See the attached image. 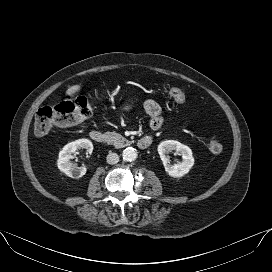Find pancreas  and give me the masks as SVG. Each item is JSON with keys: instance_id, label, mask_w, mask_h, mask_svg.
Instances as JSON below:
<instances>
[{"instance_id": "pancreas-1", "label": "pancreas", "mask_w": 272, "mask_h": 272, "mask_svg": "<svg viewBox=\"0 0 272 272\" xmlns=\"http://www.w3.org/2000/svg\"><path fill=\"white\" fill-rule=\"evenodd\" d=\"M106 138L109 144L114 145L116 148L124 146L125 142H128L121 134L113 132H106Z\"/></svg>"}]
</instances>
